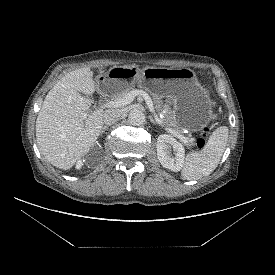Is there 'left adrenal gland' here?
<instances>
[{"label":"left adrenal gland","mask_w":275,"mask_h":275,"mask_svg":"<svg viewBox=\"0 0 275 275\" xmlns=\"http://www.w3.org/2000/svg\"><path fill=\"white\" fill-rule=\"evenodd\" d=\"M149 119H150V121H151L153 124H156V121L153 119L152 116H149Z\"/></svg>","instance_id":"obj_1"}]
</instances>
